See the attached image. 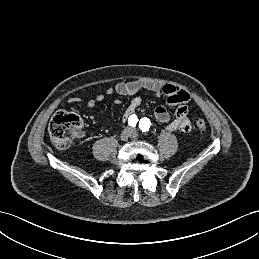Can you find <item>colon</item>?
<instances>
[{
    "label": "colon",
    "mask_w": 259,
    "mask_h": 259,
    "mask_svg": "<svg viewBox=\"0 0 259 259\" xmlns=\"http://www.w3.org/2000/svg\"><path fill=\"white\" fill-rule=\"evenodd\" d=\"M81 127L82 120L77 114L57 113L49 124V134L53 145L58 149L68 148ZM195 128L199 133H204L206 131L205 121L197 119Z\"/></svg>",
    "instance_id": "1"
}]
</instances>
